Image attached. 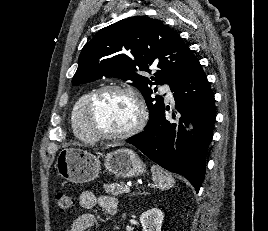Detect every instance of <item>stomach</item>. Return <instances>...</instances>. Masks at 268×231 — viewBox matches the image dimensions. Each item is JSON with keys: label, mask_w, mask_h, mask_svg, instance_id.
<instances>
[{"label": "stomach", "mask_w": 268, "mask_h": 231, "mask_svg": "<svg viewBox=\"0 0 268 231\" xmlns=\"http://www.w3.org/2000/svg\"><path fill=\"white\" fill-rule=\"evenodd\" d=\"M105 169L116 178H131L144 174L146 166L136 153L128 148L109 152L104 158ZM55 168L63 179L83 184L93 181L101 170L99 157L81 148H66L56 160Z\"/></svg>", "instance_id": "stomach-1"}]
</instances>
